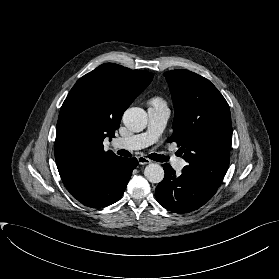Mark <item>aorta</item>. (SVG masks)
<instances>
[{
    "mask_svg": "<svg viewBox=\"0 0 279 279\" xmlns=\"http://www.w3.org/2000/svg\"><path fill=\"white\" fill-rule=\"evenodd\" d=\"M124 125L133 132H141L147 125V113L138 107L127 109L123 115ZM145 178L151 183H160L164 178V170L157 163H150L144 170Z\"/></svg>",
    "mask_w": 279,
    "mask_h": 279,
    "instance_id": "1",
    "label": "aorta"
}]
</instances>
